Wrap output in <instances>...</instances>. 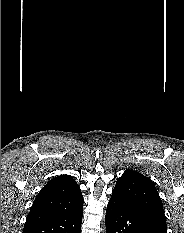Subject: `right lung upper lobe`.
Here are the masks:
<instances>
[{
	"instance_id": "obj_1",
	"label": "right lung upper lobe",
	"mask_w": 184,
	"mask_h": 233,
	"mask_svg": "<svg viewBox=\"0 0 184 233\" xmlns=\"http://www.w3.org/2000/svg\"><path fill=\"white\" fill-rule=\"evenodd\" d=\"M83 196L76 181L69 175L50 180L36 196L25 226L82 210Z\"/></svg>"
}]
</instances>
